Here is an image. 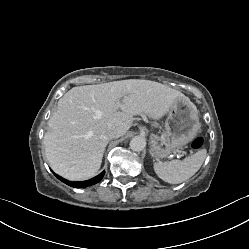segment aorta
<instances>
[{"label":"aorta","instance_id":"aorta-1","mask_svg":"<svg viewBox=\"0 0 249 249\" xmlns=\"http://www.w3.org/2000/svg\"><path fill=\"white\" fill-rule=\"evenodd\" d=\"M129 145L133 151L140 152L146 146V139L143 136H135L131 139Z\"/></svg>","mask_w":249,"mask_h":249}]
</instances>
